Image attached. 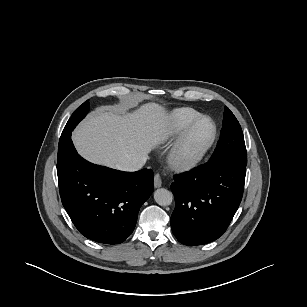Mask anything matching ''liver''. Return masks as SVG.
<instances>
[{
    "label": "liver",
    "mask_w": 307,
    "mask_h": 307,
    "mask_svg": "<svg viewBox=\"0 0 307 307\" xmlns=\"http://www.w3.org/2000/svg\"><path fill=\"white\" fill-rule=\"evenodd\" d=\"M169 133V116L156 103L133 112L100 108L72 135L78 153L86 160L116 168L141 158L163 143Z\"/></svg>",
    "instance_id": "obj_1"
}]
</instances>
